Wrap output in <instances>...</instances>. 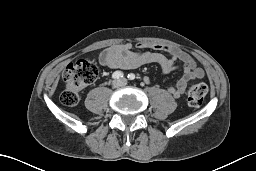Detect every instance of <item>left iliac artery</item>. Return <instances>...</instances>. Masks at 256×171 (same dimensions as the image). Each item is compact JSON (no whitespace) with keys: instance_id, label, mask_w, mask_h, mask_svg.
I'll return each mask as SVG.
<instances>
[{"instance_id":"44dca946","label":"left iliac artery","mask_w":256,"mask_h":171,"mask_svg":"<svg viewBox=\"0 0 256 171\" xmlns=\"http://www.w3.org/2000/svg\"><path fill=\"white\" fill-rule=\"evenodd\" d=\"M128 79L129 80H134L135 79V74H133V73L128 74Z\"/></svg>"}]
</instances>
